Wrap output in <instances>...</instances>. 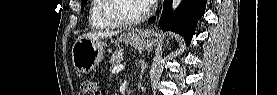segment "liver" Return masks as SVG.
I'll use <instances>...</instances> for the list:
<instances>
[{
  "mask_svg": "<svg viewBox=\"0 0 277 95\" xmlns=\"http://www.w3.org/2000/svg\"><path fill=\"white\" fill-rule=\"evenodd\" d=\"M116 34V32H90L80 36L79 38H89V39H102V38H109Z\"/></svg>",
  "mask_w": 277,
  "mask_h": 95,
  "instance_id": "liver-1",
  "label": "liver"
}]
</instances>
